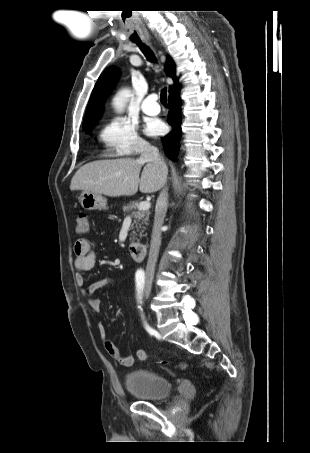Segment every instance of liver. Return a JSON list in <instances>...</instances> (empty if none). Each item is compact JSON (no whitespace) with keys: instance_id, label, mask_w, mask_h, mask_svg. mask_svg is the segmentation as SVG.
<instances>
[{"instance_id":"1","label":"liver","mask_w":310,"mask_h":453,"mask_svg":"<svg viewBox=\"0 0 310 453\" xmlns=\"http://www.w3.org/2000/svg\"><path fill=\"white\" fill-rule=\"evenodd\" d=\"M143 167L141 177L140 172ZM168 170L152 162L120 158L89 162L81 166L73 176L70 190H82L110 197L132 196L138 190L154 193L167 179Z\"/></svg>"}]
</instances>
